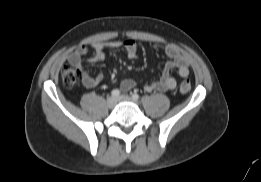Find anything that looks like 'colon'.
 <instances>
[{"label":"colon","mask_w":261,"mask_h":182,"mask_svg":"<svg viewBox=\"0 0 261 182\" xmlns=\"http://www.w3.org/2000/svg\"><path fill=\"white\" fill-rule=\"evenodd\" d=\"M62 83L66 88L73 87L80 79V71L78 69L65 66L61 70ZM191 89V84L188 80H184L180 84V91L187 93Z\"/></svg>","instance_id":"colon-1"}]
</instances>
